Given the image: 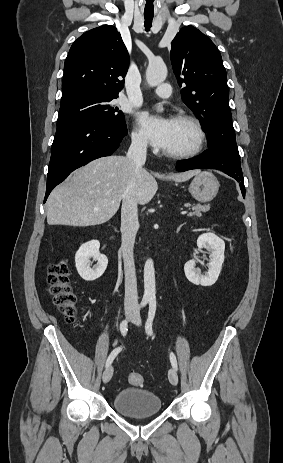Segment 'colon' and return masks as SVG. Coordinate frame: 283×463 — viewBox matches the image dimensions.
Returning <instances> with one entry per match:
<instances>
[{
  "mask_svg": "<svg viewBox=\"0 0 283 463\" xmlns=\"http://www.w3.org/2000/svg\"><path fill=\"white\" fill-rule=\"evenodd\" d=\"M47 282L53 301L65 320L69 323L75 322L78 313L77 295L71 285L69 269L65 261H56L49 265ZM127 379L131 385L135 386L144 383L143 376L137 372H130Z\"/></svg>",
  "mask_w": 283,
  "mask_h": 463,
  "instance_id": "5ec220e1",
  "label": "colon"
}]
</instances>
